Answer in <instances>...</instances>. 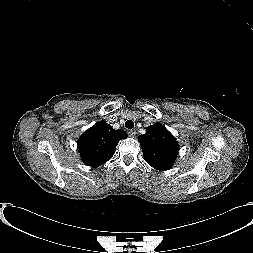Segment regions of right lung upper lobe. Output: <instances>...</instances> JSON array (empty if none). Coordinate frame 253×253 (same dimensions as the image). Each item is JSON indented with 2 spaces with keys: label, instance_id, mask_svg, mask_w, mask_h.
<instances>
[{
  "label": "right lung upper lobe",
  "instance_id": "right-lung-upper-lobe-1",
  "mask_svg": "<svg viewBox=\"0 0 253 253\" xmlns=\"http://www.w3.org/2000/svg\"><path fill=\"white\" fill-rule=\"evenodd\" d=\"M125 138H127L125 131L114 130L104 120L97 122L78 140L82 161L93 168L104 164L114 155L119 141Z\"/></svg>",
  "mask_w": 253,
  "mask_h": 253
}]
</instances>
